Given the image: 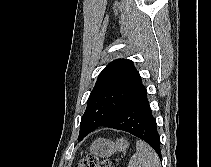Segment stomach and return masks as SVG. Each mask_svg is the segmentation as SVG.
<instances>
[{
	"label": "stomach",
	"instance_id": "0dacf381",
	"mask_svg": "<svg viewBox=\"0 0 211 167\" xmlns=\"http://www.w3.org/2000/svg\"><path fill=\"white\" fill-rule=\"evenodd\" d=\"M129 143L126 139H117L115 142L109 139L99 138L95 140L90 146L91 154L97 157L108 158L114 153H125Z\"/></svg>",
	"mask_w": 211,
	"mask_h": 167
}]
</instances>
